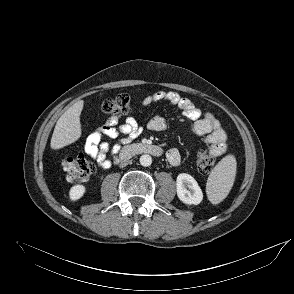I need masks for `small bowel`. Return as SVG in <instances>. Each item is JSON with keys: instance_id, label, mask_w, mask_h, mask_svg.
<instances>
[{"instance_id": "c3829d8e", "label": "small bowel", "mask_w": 294, "mask_h": 294, "mask_svg": "<svg viewBox=\"0 0 294 294\" xmlns=\"http://www.w3.org/2000/svg\"><path fill=\"white\" fill-rule=\"evenodd\" d=\"M158 102H169L178 108L190 121L191 131L205 139L214 156H220L226 152L227 133L213 113H202L190 100L173 91H158L143 98L141 104L148 106ZM117 124L118 117L111 116L88 136L84 145L85 153L94 158L105 169L110 168L113 163L118 161V154L123 144L130 139L137 138L143 132L142 126L133 116H128L122 125L117 126ZM147 128L151 131L162 132L169 129V123L163 117L156 115L147 122ZM120 134L126 137L115 144H110L104 140L105 138L115 139ZM107 153L112 154V161L107 158ZM166 157L172 166H179L181 163V154L175 148L170 149Z\"/></svg>"}]
</instances>
